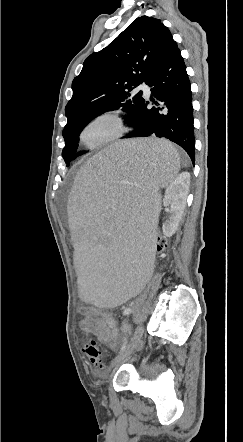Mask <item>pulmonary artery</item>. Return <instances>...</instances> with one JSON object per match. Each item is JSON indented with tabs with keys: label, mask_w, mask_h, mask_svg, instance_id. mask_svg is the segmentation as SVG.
Masks as SVG:
<instances>
[{
	"label": "pulmonary artery",
	"mask_w": 243,
	"mask_h": 442,
	"mask_svg": "<svg viewBox=\"0 0 243 442\" xmlns=\"http://www.w3.org/2000/svg\"><path fill=\"white\" fill-rule=\"evenodd\" d=\"M137 92H142L145 96H150V88L146 85V84H140L137 88H136Z\"/></svg>",
	"instance_id": "e3ab8cb5"
}]
</instances>
